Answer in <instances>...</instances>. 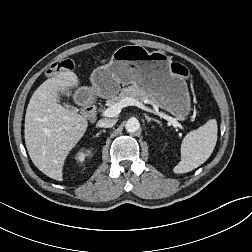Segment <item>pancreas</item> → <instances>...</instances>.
<instances>
[{"mask_svg":"<svg viewBox=\"0 0 252 252\" xmlns=\"http://www.w3.org/2000/svg\"><path fill=\"white\" fill-rule=\"evenodd\" d=\"M127 97L135 98L141 102H144L150 99L149 94L145 92L144 90L138 88L137 86H129V87L123 88L118 95L110 97V99L106 101V104L111 106V105L119 103L121 100Z\"/></svg>","mask_w":252,"mask_h":252,"instance_id":"obj_1","label":"pancreas"}]
</instances>
